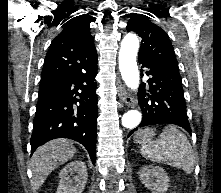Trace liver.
Returning a JSON list of instances; mask_svg holds the SVG:
<instances>
[{
  "label": "liver",
  "mask_w": 221,
  "mask_h": 193,
  "mask_svg": "<svg viewBox=\"0 0 221 193\" xmlns=\"http://www.w3.org/2000/svg\"><path fill=\"white\" fill-rule=\"evenodd\" d=\"M75 154L73 142L65 138L51 140L37 148L31 159L33 188L38 190L55 168L71 160Z\"/></svg>",
  "instance_id": "obj_1"
}]
</instances>
